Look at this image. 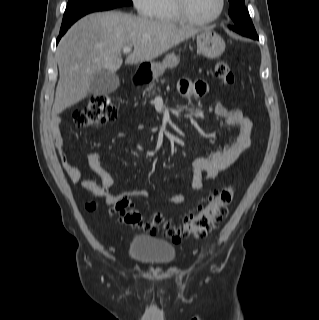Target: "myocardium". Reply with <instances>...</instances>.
I'll list each match as a JSON object with an SVG mask.
<instances>
[{
  "label": "myocardium",
  "instance_id": "obj_1",
  "mask_svg": "<svg viewBox=\"0 0 319 320\" xmlns=\"http://www.w3.org/2000/svg\"><path fill=\"white\" fill-rule=\"evenodd\" d=\"M174 8L181 19L189 24L193 25H207L216 22L222 16L225 10V0H219V8L217 13L208 19L195 18L188 9L187 0H173Z\"/></svg>",
  "mask_w": 319,
  "mask_h": 320
}]
</instances>
